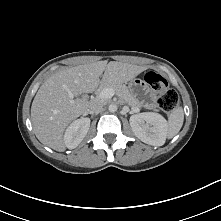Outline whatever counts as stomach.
<instances>
[{
	"mask_svg": "<svg viewBox=\"0 0 221 221\" xmlns=\"http://www.w3.org/2000/svg\"><path fill=\"white\" fill-rule=\"evenodd\" d=\"M130 93L138 100L144 102V98L148 89L146 82L140 78H134L128 83Z\"/></svg>",
	"mask_w": 221,
	"mask_h": 221,
	"instance_id": "1",
	"label": "stomach"
}]
</instances>
